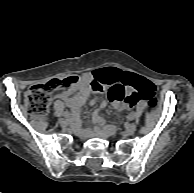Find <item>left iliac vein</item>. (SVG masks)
<instances>
[{
	"label": "left iliac vein",
	"mask_w": 194,
	"mask_h": 193,
	"mask_svg": "<svg viewBox=\"0 0 194 193\" xmlns=\"http://www.w3.org/2000/svg\"><path fill=\"white\" fill-rule=\"evenodd\" d=\"M133 114V118L135 117V114L134 113H131ZM136 124L135 123H132V124H129L126 126L125 128V134L126 135H132L135 131H136Z\"/></svg>",
	"instance_id": "4c4485c4"
}]
</instances>
